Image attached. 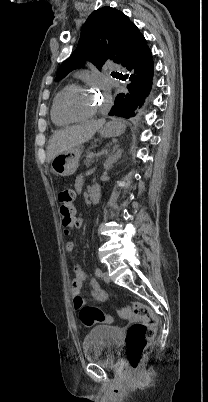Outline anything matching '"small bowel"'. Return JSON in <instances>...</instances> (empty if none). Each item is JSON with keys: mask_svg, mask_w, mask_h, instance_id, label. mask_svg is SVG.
<instances>
[{"mask_svg": "<svg viewBox=\"0 0 208 402\" xmlns=\"http://www.w3.org/2000/svg\"><path fill=\"white\" fill-rule=\"evenodd\" d=\"M84 184V179L83 177H79L76 181L75 188L77 191H80L83 187ZM74 227L75 228H80L81 227V222L80 221H75L74 222ZM75 248V245L73 242H68L66 245V248L64 249L65 253H68L69 251H72ZM85 276L80 270L79 267L73 266L72 267V295H73V300H74V305L76 307H81L83 304H85V300L80 297V291L83 286ZM90 287H91V292L93 299L97 302H102L106 300L107 298V292L101 287L100 283L96 279H92L90 281Z\"/></svg>", "mask_w": 208, "mask_h": 402, "instance_id": "1", "label": "small bowel"}]
</instances>
